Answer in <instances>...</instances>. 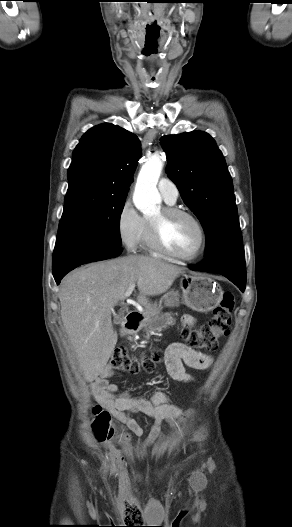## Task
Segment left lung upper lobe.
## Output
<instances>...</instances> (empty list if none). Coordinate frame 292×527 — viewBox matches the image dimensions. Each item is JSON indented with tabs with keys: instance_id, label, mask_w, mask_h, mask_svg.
<instances>
[{
	"instance_id": "obj_1",
	"label": "left lung upper lobe",
	"mask_w": 292,
	"mask_h": 527,
	"mask_svg": "<svg viewBox=\"0 0 292 527\" xmlns=\"http://www.w3.org/2000/svg\"><path fill=\"white\" fill-rule=\"evenodd\" d=\"M160 143L170 179L205 230V259L244 253L232 179L213 138L192 131L163 136Z\"/></svg>"
}]
</instances>
